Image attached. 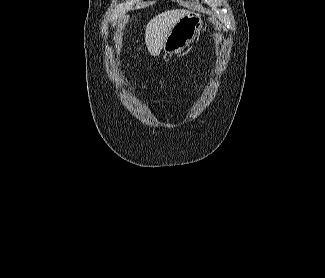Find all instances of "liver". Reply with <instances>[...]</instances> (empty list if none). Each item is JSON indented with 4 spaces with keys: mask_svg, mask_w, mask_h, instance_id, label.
Wrapping results in <instances>:
<instances>
[{
    "mask_svg": "<svg viewBox=\"0 0 325 278\" xmlns=\"http://www.w3.org/2000/svg\"><path fill=\"white\" fill-rule=\"evenodd\" d=\"M189 11L184 9H173L153 17L145 28V44L149 53L158 55L163 49L165 40L173 26Z\"/></svg>",
    "mask_w": 325,
    "mask_h": 278,
    "instance_id": "liver-1",
    "label": "liver"
}]
</instances>
